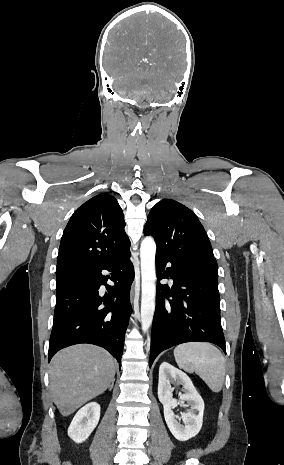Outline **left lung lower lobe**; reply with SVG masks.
I'll list each match as a JSON object with an SVG mask.
<instances>
[{"instance_id":"obj_1","label":"left lung lower lobe","mask_w":284,"mask_h":465,"mask_svg":"<svg viewBox=\"0 0 284 465\" xmlns=\"http://www.w3.org/2000/svg\"><path fill=\"white\" fill-rule=\"evenodd\" d=\"M156 269L158 280L174 283L171 289L157 283L149 366L163 350L185 342H210L226 353L217 277L158 252Z\"/></svg>"}]
</instances>
